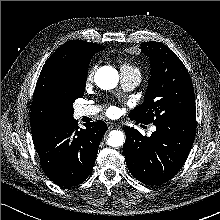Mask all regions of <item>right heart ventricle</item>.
Wrapping results in <instances>:
<instances>
[{
	"instance_id": "right-heart-ventricle-1",
	"label": "right heart ventricle",
	"mask_w": 220,
	"mask_h": 220,
	"mask_svg": "<svg viewBox=\"0 0 220 220\" xmlns=\"http://www.w3.org/2000/svg\"><path fill=\"white\" fill-rule=\"evenodd\" d=\"M121 71H137L139 72L135 67H133L132 65H130L129 63L124 62L121 65Z\"/></svg>"
}]
</instances>
